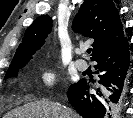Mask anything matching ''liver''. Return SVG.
Returning a JSON list of instances; mask_svg holds the SVG:
<instances>
[{
  "label": "liver",
  "mask_w": 133,
  "mask_h": 118,
  "mask_svg": "<svg viewBox=\"0 0 133 118\" xmlns=\"http://www.w3.org/2000/svg\"><path fill=\"white\" fill-rule=\"evenodd\" d=\"M4 118H79V115L55 102L36 101L12 110Z\"/></svg>",
  "instance_id": "1"
}]
</instances>
